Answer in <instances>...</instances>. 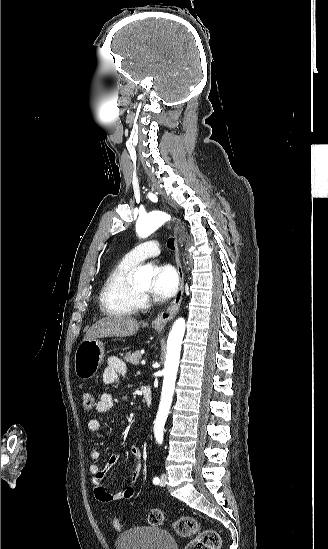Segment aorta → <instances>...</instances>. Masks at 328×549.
I'll list each match as a JSON object with an SVG mask.
<instances>
[{
  "instance_id": "1",
  "label": "aorta",
  "mask_w": 328,
  "mask_h": 549,
  "mask_svg": "<svg viewBox=\"0 0 328 549\" xmlns=\"http://www.w3.org/2000/svg\"><path fill=\"white\" fill-rule=\"evenodd\" d=\"M170 219V215L162 211L150 212L138 218L136 232L141 238H146ZM152 277V268L146 266L141 267L134 274L135 280L143 284L151 283ZM185 327L186 322L184 318H178L174 322L167 340L161 401L154 422V435L159 444L163 442L164 426L171 407Z\"/></svg>"
}]
</instances>
